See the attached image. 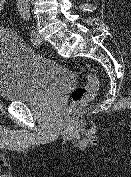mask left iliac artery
<instances>
[{"mask_svg":"<svg viewBox=\"0 0 131 177\" xmlns=\"http://www.w3.org/2000/svg\"><path fill=\"white\" fill-rule=\"evenodd\" d=\"M20 12H21V16H22L23 20L28 22L30 20L29 9L24 7L23 9L20 10ZM29 30H30V40L33 44H36L37 43L36 34H35L34 30H32V29H29Z\"/></svg>","mask_w":131,"mask_h":177,"instance_id":"44dca946","label":"left iliac artery"}]
</instances>
